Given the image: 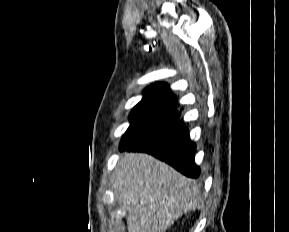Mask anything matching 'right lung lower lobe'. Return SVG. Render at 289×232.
<instances>
[{"mask_svg": "<svg viewBox=\"0 0 289 232\" xmlns=\"http://www.w3.org/2000/svg\"><path fill=\"white\" fill-rule=\"evenodd\" d=\"M196 145L189 138V130L176 120L120 150L147 152L167 162L182 174L197 178L199 167L194 162Z\"/></svg>", "mask_w": 289, "mask_h": 232, "instance_id": "right-lung-lower-lobe-1", "label": "right lung lower lobe"}]
</instances>
